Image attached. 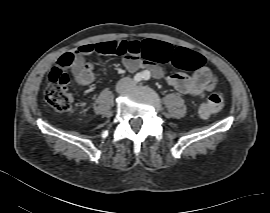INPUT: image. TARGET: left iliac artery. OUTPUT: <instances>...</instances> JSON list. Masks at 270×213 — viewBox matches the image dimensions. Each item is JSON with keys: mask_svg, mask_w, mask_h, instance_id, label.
<instances>
[{"mask_svg": "<svg viewBox=\"0 0 270 213\" xmlns=\"http://www.w3.org/2000/svg\"><path fill=\"white\" fill-rule=\"evenodd\" d=\"M143 79L144 81H148L150 79V73L146 72Z\"/></svg>", "mask_w": 270, "mask_h": 213, "instance_id": "1", "label": "left iliac artery"}]
</instances>
